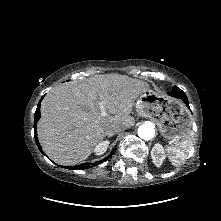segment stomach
Returning <instances> with one entry per match:
<instances>
[{"label":"stomach","mask_w":221,"mask_h":221,"mask_svg":"<svg viewBox=\"0 0 221 221\" xmlns=\"http://www.w3.org/2000/svg\"><path fill=\"white\" fill-rule=\"evenodd\" d=\"M136 111L153 119L168 140L184 139L192 126L191 115L183 104L150 88L137 97Z\"/></svg>","instance_id":"obj_1"}]
</instances>
